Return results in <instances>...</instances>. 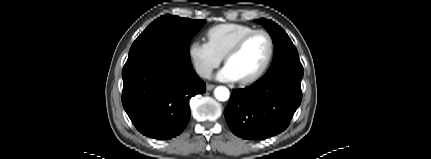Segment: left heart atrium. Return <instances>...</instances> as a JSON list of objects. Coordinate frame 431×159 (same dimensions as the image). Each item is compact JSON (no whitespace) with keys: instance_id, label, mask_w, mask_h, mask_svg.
Instances as JSON below:
<instances>
[{"instance_id":"left-heart-atrium-1","label":"left heart atrium","mask_w":431,"mask_h":159,"mask_svg":"<svg viewBox=\"0 0 431 159\" xmlns=\"http://www.w3.org/2000/svg\"><path fill=\"white\" fill-rule=\"evenodd\" d=\"M216 77L218 80L225 82H235L239 80L236 74L227 64L218 71Z\"/></svg>"}]
</instances>
